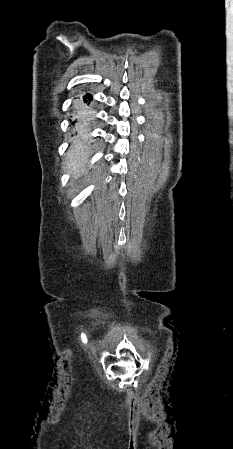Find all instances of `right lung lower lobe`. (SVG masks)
<instances>
[{"label": "right lung lower lobe", "mask_w": 233, "mask_h": 449, "mask_svg": "<svg viewBox=\"0 0 233 449\" xmlns=\"http://www.w3.org/2000/svg\"><path fill=\"white\" fill-rule=\"evenodd\" d=\"M92 101L91 94L87 93L83 96V99H79L75 105L77 110L80 112L81 117H87L90 114V103ZM76 122V121H75ZM74 124V122H73Z\"/></svg>", "instance_id": "right-lung-lower-lobe-1"}]
</instances>
